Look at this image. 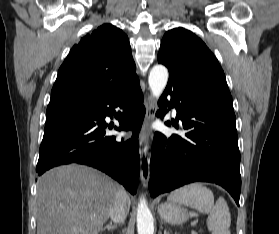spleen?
I'll use <instances>...</instances> for the list:
<instances>
[{"mask_svg": "<svg viewBox=\"0 0 279 234\" xmlns=\"http://www.w3.org/2000/svg\"><path fill=\"white\" fill-rule=\"evenodd\" d=\"M167 200L207 213V227L212 234H230L231 216L227 202L219 197L214 203L212 191L201 183H192L177 189Z\"/></svg>", "mask_w": 279, "mask_h": 234, "instance_id": "obj_1", "label": "spleen"}]
</instances>
